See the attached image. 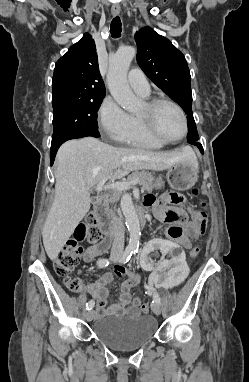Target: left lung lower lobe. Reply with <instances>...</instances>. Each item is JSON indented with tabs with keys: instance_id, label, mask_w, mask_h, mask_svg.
Returning a JSON list of instances; mask_svg holds the SVG:
<instances>
[{
	"instance_id": "0a47b994",
	"label": "left lung lower lobe",
	"mask_w": 249,
	"mask_h": 382,
	"mask_svg": "<svg viewBox=\"0 0 249 382\" xmlns=\"http://www.w3.org/2000/svg\"><path fill=\"white\" fill-rule=\"evenodd\" d=\"M190 144L197 146L201 150V152L203 153V148H202V145L200 143H198L197 141H193V142H190Z\"/></svg>"
}]
</instances>
